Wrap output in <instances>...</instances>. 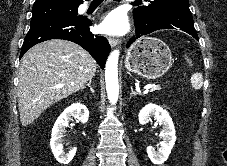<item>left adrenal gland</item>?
Here are the masks:
<instances>
[{
    "mask_svg": "<svg viewBox=\"0 0 227 166\" xmlns=\"http://www.w3.org/2000/svg\"><path fill=\"white\" fill-rule=\"evenodd\" d=\"M135 94H137V92H135V91L133 90V87L131 86V94H130V95L132 96V95H135Z\"/></svg>",
    "mask_w": 227,
    "mask_h": 166,
    "instance_id": "left-adrenal-gland-1",
    "label": "left adrenal gland"
}]
</instances>
